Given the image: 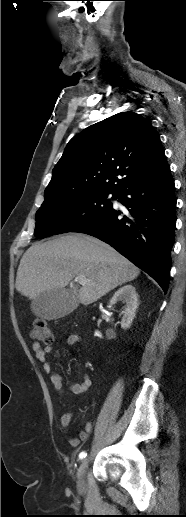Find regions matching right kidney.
<instances>
[{
    "label": "right kidney",
    "mask_w": 186,
    "mask_h": 517,
    "mask_svg": "<svg viewBox=\"0 0 186 517\" xmlns=\"http://www.w3.org/2000/svg\"><path fill=\"white\" fill-rule=\"evenodd\" d=\"M118 301L125 304L124 311H122L123 317L121 320V327L123 329H128L131 326L138 307V294L136 293L135 287L132 285H125L118 289L110 299V305H114Z\"/></svg>",
    "instance_id": "right-kidney-1"
}]
</instances>
